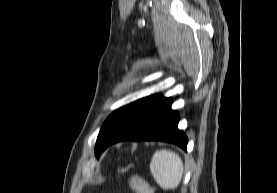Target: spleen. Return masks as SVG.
Listing matches in <instances>:
<instances>
[{
	"label": "spleen",
	"mask_w": 277,
	"mask_h": 193,
	"mask_svg": "<svg viewBox=\"0 0 277 193\" xmlns=\"http://www.w3.org/2000/svg\"><path fill=\"white\" fill-rule=\"evenodd\" d=\"M183 162L178 154L170 150H158L153 154L150 171L157 184L164 190H173L181 182Z\"/></svg>",
	"instance_id": "obj_1"
}]
</instances>
